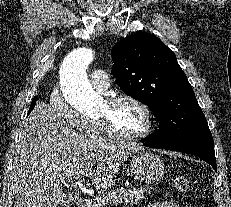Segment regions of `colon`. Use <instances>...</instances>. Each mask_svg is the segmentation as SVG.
<instances>
[{
  "mask_svg": "<svg viewBox=\"0 0 231 207\" xmlns=\"http://www.w3.org/2000/svg\"><path fill=\"white\" fill-rule=\"evenodd\" d=\"M175 186L178 191L185 193V194H190L192 192V184L189 178L185 176H178L175 179Z\"/></svg>",
  "mask_w": 231,
  "mask_h": 207,
  "instance_id": "5ec220e1",
  "label": "colon"
}]
</instances>
